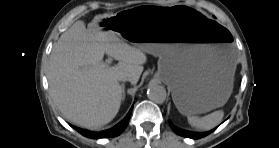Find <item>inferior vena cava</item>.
<instances>
[{"instance_id": "1", "label": "inferior vena cava", "mask_w": 279, "mask_h": 148, "mask_svg": "<svg viewBox=\"0 0 279 148\" xmlns=\"http://www.w3.org/2000/svg\"><path fill=\"white\" fill-rule=\"evenodd\" d=\"M119 81H129V78L126 76L119 77Z\"/></svg>"}]
</instances>
